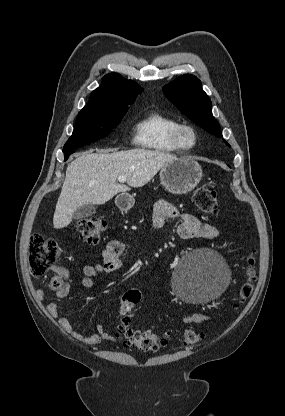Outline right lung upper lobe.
I'll return each mask as SVG.
<instances>
[{"label":"right lung upper lobe","mask_w":285,"mask_h":416,"mask_svg":"<svg viewBox=\"0 0 285 416\" xmlns=\"http://www.w3.org/2000/svg\"><path fill=\"white\" fill-rule=\"evenodd\" d=\"M142 89L132 80L124 79L120 74H107L102 84L91 93L84 108L109 109L128 107L135 101Z\"/></svg>","instance_id":"obj_1"}]
</instances>
